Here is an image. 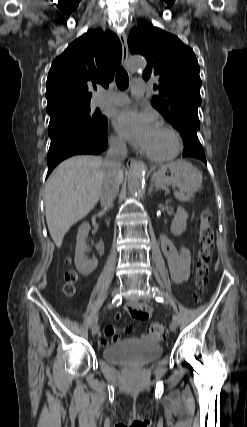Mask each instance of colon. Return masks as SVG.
<instances>
[{
  "label": "colon",
  "mask_w": 247,
  "mask_h": 427,
  "mask_svg": "<svg viewBox=\"0 0 247 427\" xmlns=\"http://www.w3.org/2000/svg\"><path fill=\"white\" fill-rule=\"evenodd\" d=\"M211 211L205 209L200 215V230H199V253L196 266V284L199 288L204 285V282L209 273V263L211 260V249L214 241V232L211 226ZM78 275L73 270H68L65 274V284L63 287L66 296H72L75 293V284ZM200 292L196 293L195 299L199 300ZM148 334L155 340L161 339L165 335V327L159 323H151L148 327Z\"/></svg>",
  "instance_id": "1"
}]
</instances>
